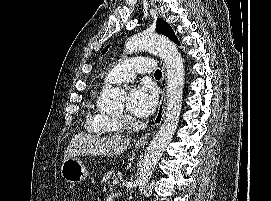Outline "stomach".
Returning <instances> with one entry per match:
<instances>
[{
  "mask_svg": "<svg viewBox=\"0 0 271 201\" xmlns=\"http://www.w3.org/2000/svg\"><path fill=\"white\" fill-rule=\"evenodd\" d=\"M61 175L66 182L75 184L84 181L89 175V172L79 158L73 157L63 161Z\"/></svg>",
  "mask_w": 271,
  "mask_h": 201,
  "instance_id": "1",
  "label": "stomach"
}]
</instances>
